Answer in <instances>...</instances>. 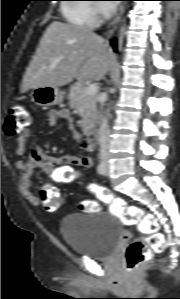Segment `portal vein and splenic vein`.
<instances>
[{"label":"portal vein and splenic vein","instance_id":"portal-vein-and-splenic-vein-1","mask_svg":"<svg viewBox=\"0 0 180 299\" xmlns=\"http://www.w3.org/2000/svg\"><path fill=\"white\" fill-rule=\"evenodd\" d=\"M98 91V86L96 84L88 85L84 88V94L86 95H94Z\"/></svg>","mask_w":180,"mask_h":299}]
</instances>
